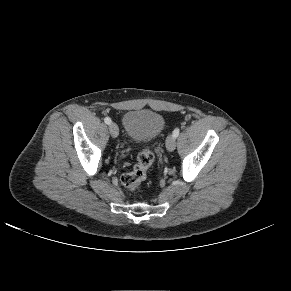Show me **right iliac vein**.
Returning <instances> with one entry per match:
<instances>
[{"label": "right iliac vein", "mask_w": 291, "mask_h": 291, "mask_svg": "<svg viewBox=\"0 0 291 291\" xmlns=\"http://www.w3.org/2000/svg\"><path fill=\"white\" fill-rule=\"evenodd\" d=\"M109 131L112 137L116 138L119 135V128L115 123H110Z\"/></svg>", "instance_id": "right-iliac-vein-1"}]
</instances>
